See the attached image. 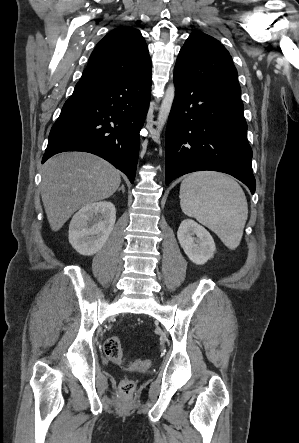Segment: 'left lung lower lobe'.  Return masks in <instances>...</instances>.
Returning <instances> with one entry per match:
<instances>
[{
  "mask_svg": "<svg viewBox=\"0 0 299 443\" xmlns=\"http://www.w3.org/2000/svg\"><path fill=\"white\" fill-rule=\"evenodd\" d=\"M175 99L166 137V185L184 174H230L255 192L252 149L243 103L223 91L174 71Z\"/></svg>",
  "mask_w": 299,
  "mask_h": 443,
  "instance_id": "obj_1",
  "label": "left lung lower lobe"
}]
</instances>
